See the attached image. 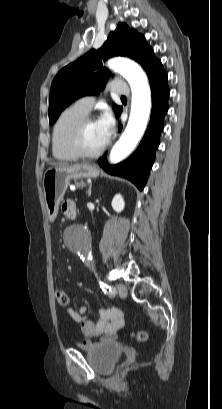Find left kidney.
Returning <instances> with one entry per match:
<instances>
[{
    "instance_id": "obj_1",
    "label": "left kidney",
    "mask_w": 222,
    "mask_h": 409,
    "mask_svg": "<svg viewBox=\"0 0 222 409\" xmlns=\"http://www.w3.org/2000/svg\"><path fill=\"white\" fill-rule=\"evenodd\" d=\"M111 205L116 212L120 213L123 211L125 207V202L121 194H117L114 196Z\"/></svg>"
}]
</instances>
